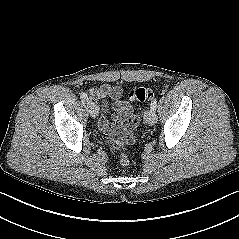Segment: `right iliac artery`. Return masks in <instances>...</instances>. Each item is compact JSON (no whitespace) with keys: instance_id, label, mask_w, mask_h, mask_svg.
<instances>
[{"instance_id":"82829eb1","label":"right iliac artery","mask_w":239,"mask_h":239,"mask_svg":"<svg viewBox=\"0 0 239 239\" xmlns=\"http://www.w3.org/2000/svg\"><path fill=\"white\" fill-rule=\"evenodd\" d=\"M80 97L84 100V101H88V96H87V94L86 93H84V92H81L80 93Z\"/></svg>"}]
</instances>
